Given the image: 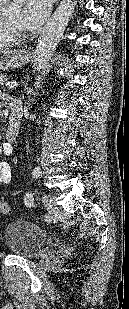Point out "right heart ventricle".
I'll return each instance as SVG.
<instances>
[{"mask_svg":"<svg viewBox=\"0 0 129 309\" xmlns=\"http://www.w3.org/2000/svg\"><path fill=\"white\" fill-rule=\"evenodd\" d=\"M4 0H0V44H3V43H8L12 40V37L9 36L5 30H4V26H3V22H2V2Z\"/></svg>","mask_w":129,"mask_h":309,"instance_id":"obj_1","label":"right heart ventricle"}]
</instances>
